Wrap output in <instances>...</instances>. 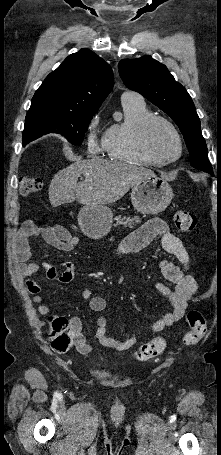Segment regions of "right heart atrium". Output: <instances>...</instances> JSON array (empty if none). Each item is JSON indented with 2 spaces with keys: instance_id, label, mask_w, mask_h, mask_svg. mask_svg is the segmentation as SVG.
I'll use <instances>...</instances> for the list:
<instances>
[{
  "instance_id": "d8ad5b80",
  "label": "right heart atrium",
  "mask_w": 221,
  "mask_h": 455,
  "mask_svg": "<svg viewBox=\"0 0 221 455\" xmlns=\"http://www.w3.org/2000/svg\"><path fill=\"white\" fill-rule=\"evenodd\" d=\"M105 132L100 127L99 114H95L89 120L85 132L86 147L89 152L97 154L103 151Z\"/></svg>"
}]
</instances>
